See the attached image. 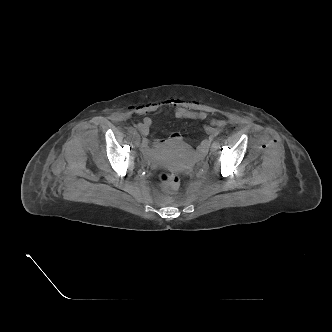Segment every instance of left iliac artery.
<instances>
[{
	"instance_id": "obj_1",
	"label": "left iliac artery",
	"mask_w": 332,
	"mask_h": 332,
	"mask_svg": "<svg viewBox=\"0 0 332 332\" xmlns=\"http://www.w3.org/2000/svg\"><path fill=\"white\" fill-rule=\"evenodd\" d=\"M214 145L219 148V145H220V139L217 138L216 141L214 142Z\"/></svg>"
}]
</instances>
